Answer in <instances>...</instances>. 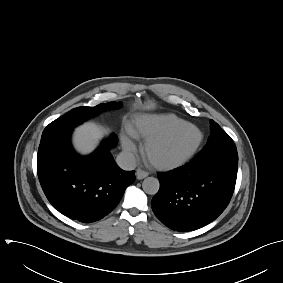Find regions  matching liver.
Instances as JSON below:
<instances>
[{
  "instance_id": "6515ba94",
  "label": "liver",
  "mask_w": 283,
  "mask_h": 283,
  "mask_svg": "<svg viewBox=\"0 0 283 283\" xmlns=\"http://www.w3.org/2000/svg\"><path fill=\"white\" fill-rule=\"evenodd\" d=\"M107 130L95 123L88 122L77 127L74 132L73 144L76 150L82 154L92 152Z\"/></svg>"
}]
</instances>
